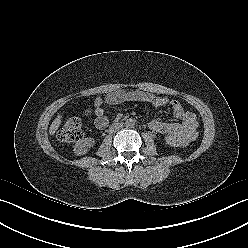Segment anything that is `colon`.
Masks as SVG:
<instances>
[{
  "label": "colon",
  "mask_w": 248,
  "mask_h": 248,
  "mask_svg": "<svg viewBox=\"0 0 248 248\" xmlns=\"http://www.w3.org/2000/svg\"><path fill=\"white\" fill-rule=\"evenodd\" d=\"M83 136L81 121L78 118H70L58 130L57 137L62 142H76ZM166 143L171 147H179L183 145V141L174 135L165 137Z\"/></svg>",
  "instance_id": "5ec220e1"
}]
</instances>
